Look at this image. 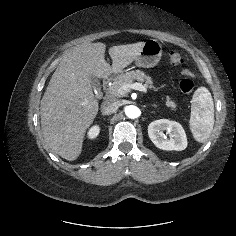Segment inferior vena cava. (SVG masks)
<instances>
[{
  "instance_id": "inferior-vena-cava-1",
  "label": "inferior vena cava",
  "mask_w": 236,
  "mask_h": 236,
  "mask_svg": "<svg viewBox=\"0 0 236 236\" xmlns=\"http://www.w3.org/2000/svg\"><path fill=\"white\" fill-rule=\"evenodd\" d=\"M120 106V102L116 99H108L101 105V112L103 115H110L115 113Z\"/></svg>"
}]
</instances>
